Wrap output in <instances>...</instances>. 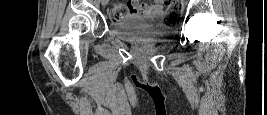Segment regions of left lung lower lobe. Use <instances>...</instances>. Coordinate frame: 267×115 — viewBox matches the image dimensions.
<instances>
[{
  "instance_id": "obj_1",
  "label": "left lung lower lobe",
  "mask_w": 267,
  "mask_h": 115,
  "mask_svg": "<svg viewBox=\"0 0 267 115\" xmlns=\"http://www.w3.org/2000/svg\"><path fill=\"white\" fill-rule=\"evenodd\" d=\"M138 87H142V88H144L143 86H139V85H137ZM157 89V88H156Z\"/></svg>"
}]
</instances>
